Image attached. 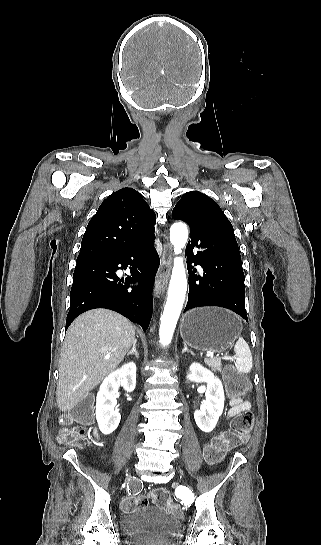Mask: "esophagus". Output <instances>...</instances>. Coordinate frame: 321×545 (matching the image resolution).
Listing matches in <instances>:
<instances>
[{
	"instance_id": "obj_1",
	"label": "esophagus",
	"mask_w": 321,
	"mask_h": 545,
	"mask_svg": "<svg viewBox=\"0 0 321 545\" xmlns=\"http://www.w3.org/2000/svg\"><path fill=\"white\" fill-rule=\"evenodd\" d=\"M172 266V248L168 242L163 245V254L161 264L156 276L154 293L156 296L161 295L166 288L169 280Z\"/></svg>"
}]
</instances>
